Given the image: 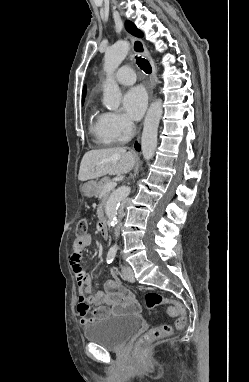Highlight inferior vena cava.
Segmentation results:
<instances>
[{
    "label": "inferior vena cava",
    "mask_w": 249,
    "mask_h": 382,
    "mask_svg": "<svg viewBox=\"0 0 249 382\" xmlns=\"http://www.w3.org/2000/svg\"><path fill=\"white\" fill-rule=\"evenodd\" d=\"M121 214H122V212L119 213V215H121ZM118 235H119V229L116 228V229H115V236L118 237Z\"/></svg>",
    "instance_id": "obj_1"
}]
</instances>
